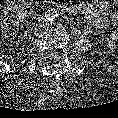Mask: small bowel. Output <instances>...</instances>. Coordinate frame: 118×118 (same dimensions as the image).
I'll return each instance as SVG.
<instances>
[{
	"mask_svg": "<svg viewBox=\"0 0 118 118\" xmlns=\"http://www.w3.org/2000/svg\"><path fill=\"white\" fill-rule=\"evenodd\" d=\"M108 7V3L105 0H87L77 5V8L84 14L89 22L100 29L106 27L104 14ZM112 24L114 30L110 33L108 38L110 48L118 44V10L112 15Z\"/></svg>",
	"mask_w": 118,
	"mask_h": 118,
	"instance_id": "c3829d8e",
	"label": "small bowel"
}]
</instances>
